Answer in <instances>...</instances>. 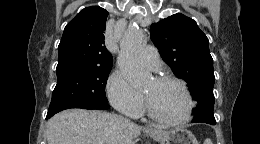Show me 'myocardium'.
<instances>
[{
	"instance_id": "1",
	"label": "myocardium",
	"mask_w": 260,
	"mask_h": 144,
	"mask_svg": "<svg viewBox=\"0 0 260 144\" xmlns=\"http://www.w3.org/2000/svg\"><path fill=\"white\" fill-rule=\"evenodd\" d=\"M154 82L157 84H165V83H173L178 85L185 93L186 98L188 100V109H187V113L186 115L181 118V119H170V118H166L164 116H161L160 114L156 113L152 106L150 105L148 99L144 96V103H145V107L147 110L148 115L154 119L155 121L164 123V124H169V125H183L187 122H189L192 118V114H193V110L195 107V102L193 99V96L187 86V84L176 77H171V76H158L155 77Z\"/></svg>"
}]
</instances>
